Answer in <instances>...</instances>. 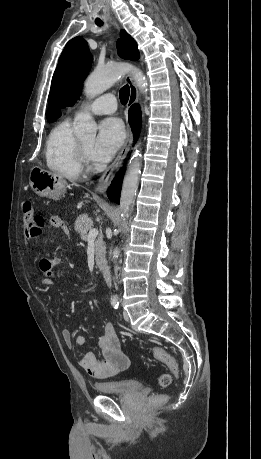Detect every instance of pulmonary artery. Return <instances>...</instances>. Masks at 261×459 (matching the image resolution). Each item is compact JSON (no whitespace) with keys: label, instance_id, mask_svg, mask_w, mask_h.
I'll return each instance as SVG.
<instances>
[{"label":"pulmonary artery","instance_id":"1","mask_svg":"<svg viewBox=\"0 0 261 459\" xmlns=\"http://www.w3.org/2000/svg\"><path fill=\"white\" fill-rule=\"evenodd\" d=\"M86 109L97 115L112 114L117 109V101L113 94L107 93L94 99Z\"/></svg>","mask_w":261,"mask_h":459}]
</instances>
